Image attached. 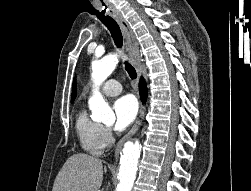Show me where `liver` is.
Returning a JSON list of instances; mask_svg holds the SVG:
<instances>
[{"mask_svg":"<svg viewBox=\"0 0 251 191\" xmlns=\"http://www.w3.org/2000/svg\"><path fill=\"white\" fill-rule=\"evenodd\" d=\"M104 171L107 167H103L102 159L87 153H74L56 175L52 191H98Z\"/></svg>","mask_w":251,"mask_h":191,"instance_id":"obj_1","label":"liver"}]
</instances>
